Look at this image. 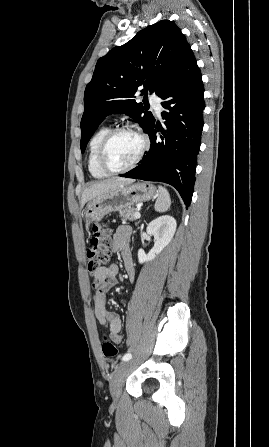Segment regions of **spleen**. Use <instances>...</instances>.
I'll list each match as a JSON object with an SVG mask.
<instances>
[{
	"instance_id": "3e777b00",
	"label": "spleen",
	"mask_w": 269,
	"mask_h": 447,
	"mask_svg": "<svg viewBox=\"0 0 269 447\" xmlns=\"http://www.w3.org/2000/svg\"><path fill=\"white\" fill-rule=\"evenodd\" d=\"M159 196L156 200V204L154 206L156 212H167L171 206V198L169 192L159 186L158 188Z\"/></svg>"
}]
</instances>
